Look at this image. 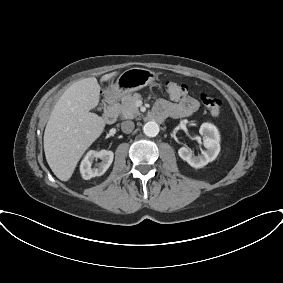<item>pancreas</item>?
Wrapping results in <instances>:
<instances>
[{"mask_svg": "<svg viewBox=\"0 0 283 283\" xmlns=\"http://www.w3.org/2000/svg\"><path fill=\"white\" fill-rule=\"evenodd\" d=\"M141 99V95L135 93L133 95L127 94L122 98L121 104H115L114 109L121 117L125 119H133L140 115L136 102Z\"/></svg>", "mask_w": 283, "mask_h": 283, "instance_id": "pancreas-1", "label": "pancreas"}]
</instances>
